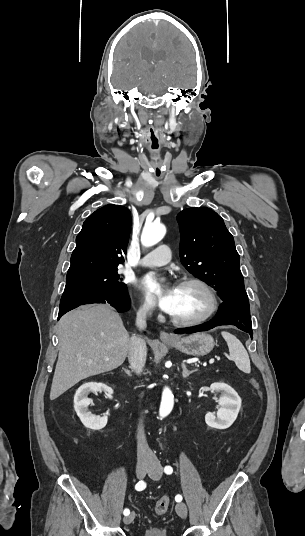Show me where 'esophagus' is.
<instances>
[{"label": "esophagus", "mask_w": 305, "mask_h": 536, "mask_svg": "<svg viewBox=\"0 0 305 536\" xmlns=\"http://www.w3.org/2000/svg\"><path fill=\"white\" fill-rule=\"evenodd\" d=\"M160 340L163 342H172L174 341V337L171 336L169 333H166V331H161Z\"/></svg>", "instance_id": "34e87169"}]
</instances>
